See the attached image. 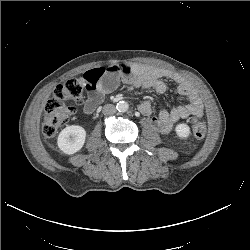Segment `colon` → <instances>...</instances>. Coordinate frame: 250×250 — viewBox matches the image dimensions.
Returning a JSON list of instances; mask_svg holds the SVG:
<instances>
[{"mask_svg":"<svg viewBox=\"0 0 250 250\" xmlns=\"http://www.w3.org/2000/svg\"><path fill=\"white\" fill-rule=\"evenodd\" d=\"M85 82L74 78L58 85L44 108L42 131L45 136H53L58 128L67 123L70 117L83 103ZM190 134L196 139H203L207 132L206 123L196 117L189 120Z\"/></svg>","mask_w":250,"mask_h":250,"instance_id":"1","label":"colon"}]
</instances>
